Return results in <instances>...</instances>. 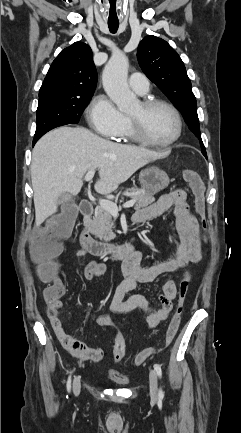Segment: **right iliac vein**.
Wrapping results in <instances>:
<instances>
[{"mask_svg":"<svg viewBox=\"0 0 241 433\" xmlns=\"http://www.w3.org/2000/svg\"><path fill=\"white\" fill-rule=\"evenodd\" d=\"M81 389L80 379L76 377L73 383V390L75 395H79Z\"/></svg>","mask_w":241,"mask_h":433,"instance_id":"right-iliac-vein-1","label":"right iliac vein"}]
</instances>
